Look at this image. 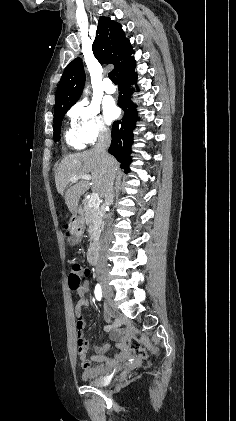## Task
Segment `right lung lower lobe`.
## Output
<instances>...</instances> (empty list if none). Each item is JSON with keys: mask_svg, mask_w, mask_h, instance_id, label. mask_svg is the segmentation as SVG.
Instances as JSON below:
<instances>
[{"mask_svg": "<svg viewBox=\"0 0 236 421\" xmlns=\"http://www.w3.org/2000/svg\"><path fill=\"white\" fill-rule=\"evenodd\" d=\"M136 62L133 59L129 64L121 68L117 73L119 81L118 106L123 109L124 116L120 121H115L112 126V142L108 152L112 154L120 163L125 172H130L131 163V145L133 144V129L137 117L136 105L130 101L133 89L130 84L136 83L137 74L135 73ZM137 87V91H138Z\"/></svg>", "mask_w": 236, "mask_h": 421, "instance_id": "98d812e1", "label": "right lung lower lobe"}]
</instances>
